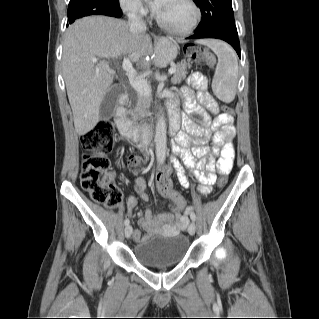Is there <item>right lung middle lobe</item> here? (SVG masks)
I'll use <instances>...</instances> for the list:
<instances>
[{
  "mask_svg": "<svg viewBox=\"0 0 319 319\" xmlns=\"http://www.w3.org/2000/svg\"><path fill=\"white\" fill-rule=\"evenodd\" d=\"M118 0H70L68 5V23L90 15H105L119 11Z\"/></svg>",
  "mask_w": 319,
  "mask_h": 319,
  "instance_id": "obj_1",
  "label": "right lung middle lobe"
}]
</instances>
